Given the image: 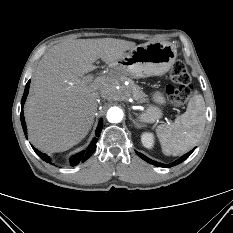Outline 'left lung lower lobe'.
<instances>
[{
    "label": "left lung lower lobe",
    "mask_w": 233,
    "mask_h": 233,
    "mask_svg": "<svg viewBox=\"0 0 233 233\" xmlns=\"http://www.w3.org/2000/svg\"><path fill=\"white\" fill-rule=\"evenodd\" d=\"M195 149V148H194ZM194 149L192 151H190L189 153L183 155L182 157H180L178 160L170 163V164H163V163H159V162H156V161H153L151 159H149L148 157H146L145 155L139 153L136 151V153L143 159L145 160L146 162L152 164V165H155V166H158V167H164V168H169V167H172V166H175L181 162H183L185 159H187L189 157V155L194 151Z\"/></svg>",
    "instance_id": "0a47b994"
}]
</instances>
